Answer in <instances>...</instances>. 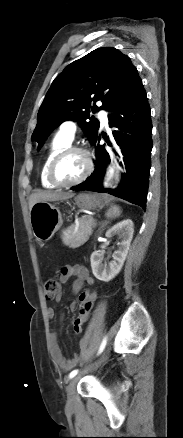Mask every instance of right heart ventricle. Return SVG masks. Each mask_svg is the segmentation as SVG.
<instances>
[{
	"instance_id": "obj_1",
	"label": "right heart ventricle",
	"mask_w": 183,
	"mask_h": 438,
	"mask_svg": "<svg viewBox=\"0 0 183 438\" xmlns=\"http://www.w3.org/2000/svg\"><path fill=\"white\" fill-rule=\"evenodd\" d=\"M71 139L67 138L66 136H64L61 133H58L53 140L51 141V143L49 144V147L46 151V154L44 156L43 159V163L41 166V170H40V179H41V183L42 186L46 189H52L55 188V186L53 184H51L47 178V170L49 167V164L51 162V160L53 159V157L62 149H64L65 147L69 146L71 144Z\"/></svg>"
}]
</instances>
